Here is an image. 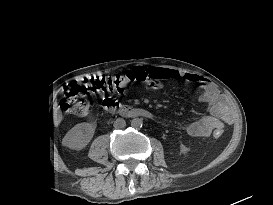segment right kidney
<instances>
[{"label":"right kidney","instance_id":"1","mask_svg":"<svg viewBox=\"0 0 273 205\" xmlns=\"http://www.w3.org/2000/svg\"><path fill=\"white\" fill-rule=\"evenodd\" d=\"M95 128L89 123H80L73 128L74 147L82 149L85 147L94 135Z\"/></svg>","mask_w":273,"mask_h":205}]
</instances>
